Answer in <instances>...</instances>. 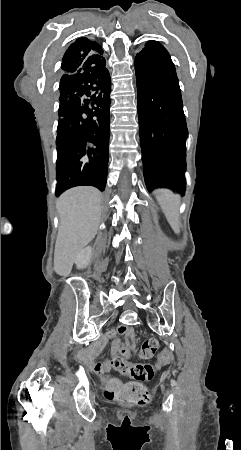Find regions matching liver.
Instances as JSON below:
<instances>
[{"mask_svg": "<svg viewBox=\"0 0 241 450\" xmlns=\"http://www.w3.org/2000/svg\"><path fill=\"white\" fill-rule=\"evenodd\" d=\"M101 200V192L91 186L71 188L59 196L56 210L60 226L54 252V270L59 276H69L80 250L95 238L101 220Z\"/></svg>", "mask_w": 241, "mask_h": 450, "instance_id": "obj_1", "label": "liver"}]
</instances>
